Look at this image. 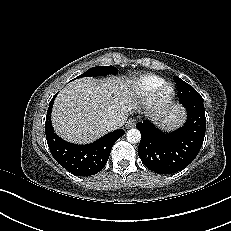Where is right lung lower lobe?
I'll list each match as a JSON object with an SVG mask.
<instances>
[{
	"label": "right lung lower lobe",
	"mask_w": 231,
	"mask_h": 231,
	"mask_svg": "<svg viewBox=\"0 0 231 231\" xmlns=\"http://www.w3.org/2000/svg\"><path fill=\"white\" fill-rule=\"evenodd\" d=\"M56 95L50 102L45 122L46 139L52 156L63 168L74 175L97 174L106 165L114 143L125 131L122 129L113 131L86 145H76L62 140L54 132L51 124V110Z\"/></svg>",
	"instance_id": "right-lung-lower-lobe-1"
}]
</instances>
